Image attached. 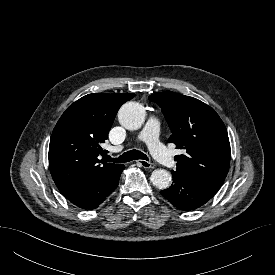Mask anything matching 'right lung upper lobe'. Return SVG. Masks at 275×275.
I'll use <instances>...</instances> for the list:
<instances>
[{"instance_id":"right-lung-upper-lobe-1","label":"right lung upper lobe","mask_w":275,"mask_h":275,"mask_svg":"<svg viewBox=\"0 0 275 275\" xmlns=\"http://www.w3.org/2000/svg\"><path fill=\"white\" fill-rule=\"evenodd\" d=\"M134 93H93L69 106L50 139L49 166L60 190L79 189L113 172L121 164H100V144L108 138L116 113Z\"/></svg>"}]
</instances>
